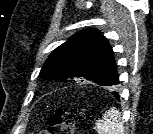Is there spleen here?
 Returning <instances> with one entry per match:
<instances>
[{
  "label": "spleen",
  "instance_id": "spleen-1",
  "mask_svg": "<svg viewBox=\"0 0 153 134\" xmlns=\"http://www.w3.org/2000/svg\"><path fill=\"white\" fill-rule=\"evenodd\" d=\"M95 130L98 134H124L121 113L115 108L106 110L102 118L96 122Z\"/></svg>",
  "mask_w": 153,
  "mask_h": 134
}]
</instances>
